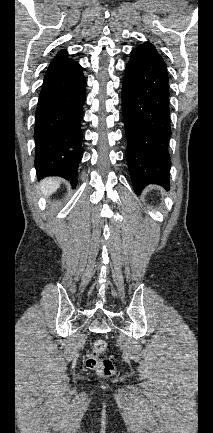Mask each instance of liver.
Masks as SVG:
<instances>
[{
  "label": "liver",
  "mask_w": 213,
  "mask_h": 433,
  "mask_svg": "<svg viewBox=\"0 0 213 433\" xmlns=\"http://www.w3.org/2000/svg\"><path fill=\"white\" fill-rule=\"evenodd\" d=\"M60 185V180L57 178H46L41 181L40 189L41 193L45 196H49L54 193Z\"/></svg>",
  "instance_id": "obj_1"
}]
</instances>
